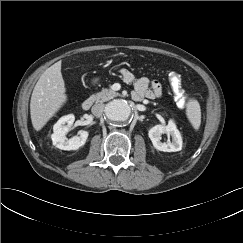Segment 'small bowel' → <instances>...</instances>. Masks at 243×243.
<instances>
[{
	"mask_svg": "<svg viewBox=\"0 0 243 243\" xmlns=\"http://www.w3.org/2000/svg\"><path fill=\"white\" fill-rule=\"evenodd\" d=\"M120 74L125 82L134 84L132 97L135 100L154 99L163 94L162 85L156 80L150 81L146 77L135 79L133 73L127 69H122Z\"/></svg>",
	"mask_w": 243,
	"mask_h": 243,
	"instance_id": "small-bowel-1",
	"label": "small bowel"
}]
</instances>
